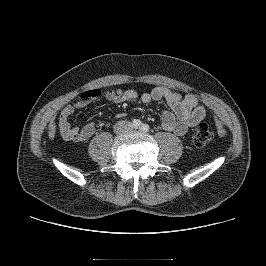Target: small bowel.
I'll return each mask as SVG.
<instances>
[{
    "label": "small bowel",
    "mask_w": 266,
    "mask_h": 266,
    "mask_svg": "<svg viewBox=\"0 0 266 266\" xmlns=\"http://www.w3.org/2000/svg\"><path fill=\"white\" fill-rule=\"evenodd\" d=\"M102 96L106 100L117 104L135 102L138 99L144 103L164 100L169 109L162 112L161 125L163 129L177 136L185 135L206 115L204 106L196 96L181 95L164 86L155 87L141 96L134 90L108 89L103 92L100 89H91L62 109L58 118V127L63 139L71 142H85L94 135L96 131L94 121L81 127L72 124L70 119L75 112L85 108ZM118 116L122 117L123 113H119Z\"/></svg>",
    "instance_id": "c3829d8e"
}]
</instances>
